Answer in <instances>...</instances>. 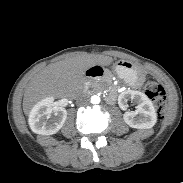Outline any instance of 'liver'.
<instances>
[{"label": "liver", "instance_id": "1", "mask_svg": "<svg viewBox=\"0 0 183 183\" xmlns=\"http://www.w3.org/2000/svg\"><path fill=\"white\" fill-rule=\"evenodd\" d=\"M112 62L113 58L109 56L81 54L48 65L28 83L23 99L24 112L29 114L36 103L48 96L68 95L70 88L82 86L86 70Z\"/></svg>", "mask_w": 183, "mask_h": 183}]
</instances>
